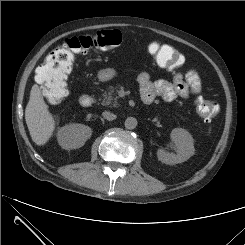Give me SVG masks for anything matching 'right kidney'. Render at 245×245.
Returning a JSON list of instances; mask_svg holds the SVG:
<instances>
[{
    "instance_id": "ca27d5eb",
    "label": "right kidney",
    "mask_w": 245,
    "mask_h": 245,
    "mask_svg": "<svg viewBox=\"0 0 245 245\" xmlns=\"http://www.w3.org/2000/svg\"><path fill=\"white\" fill-rule=\"evenodd\" d=\"M91 135L90 127L83 124H69L58 130L57 140L63 149L71 150L82 147Z\"/></svg>"
}]
</instances>
